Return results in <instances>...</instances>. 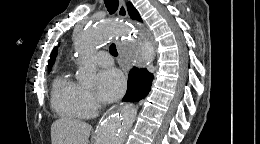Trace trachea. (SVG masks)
Returning a JSON list of instances; mask_svg holds the SVG:
<instances>
[{
    "mask_svg": "<svg viewBox=\"0 0 260 144\" xmlns=\"http://www.w3.org/2000/svg\"><path fill=\"white\" fill-rule=\"evenodd\" d=\"M105 6L110 14H113L117 11L118 9V0H104ZM109 52L111 55L116 57L118 55L117 49L115 44H111L109 48Z\"/></svg>",
    "mask_w": 260,
    "mask_h": 144,
    "instance_id": "3493384b",
    "label": "trachea"
}]
</instances>
